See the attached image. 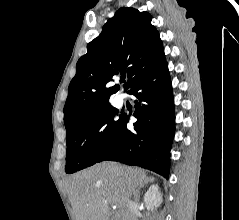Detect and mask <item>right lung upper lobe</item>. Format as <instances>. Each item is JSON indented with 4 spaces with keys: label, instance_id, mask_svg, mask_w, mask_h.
Returning a JSON list of instances; mask_svg holds the SVG:
<instances>
[{
    "label": "right lung upper lobe",
    "instance_id": "obj_1",
    "mask_svg": "<svg viewBox=\"0 0 239 220\" xmlns=\"http://www.w3.org/2000/svg\"><path fill=\"white\" fill-rule=\"evenodd\" d=\"M152 16L131 7L120 8L103 26L101 34L87 45L76 65L64 107L66 130L80 117L110 105L119 90L108 87L115 75L127 76L125 90L163 62L164 49Z\"/></svg>",
    "mask_w": 239,
    "mask_h": 220
}]
</instances>
